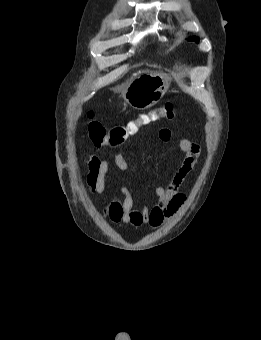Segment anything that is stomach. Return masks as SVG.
Wrapping results in <instances>:
<instances>
[{
    "mask_svg": "<svg viewBox=\"0 0 261 340\" xmlns=\"http://www.w3.org/2000/svg\"><path fill=\"white\" fill-rule=\"evenodd\" d=\"M169 79L159 73L145 72L135 77L122 91V97L131 107L144 110L154 106L164 96Z\"/></svg>",
    "mask_w": 261,
    "mask_h": 340,
    "instance_id": "stomach-1",
    "label": "stomach"
}]
</instances>
